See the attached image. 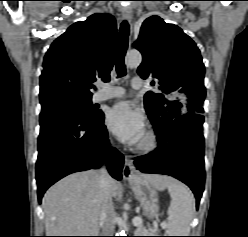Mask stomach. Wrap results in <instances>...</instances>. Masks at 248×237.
I'll return each mask as SVG.
<instances>
[{
  "label": "stomach",
  "mask_w": 248,
  "mask_h": 237,
  "mask_svg": "<svg viewBox=\"0 0 248 237\" xmlns=\"http://www.w3.org/2000/svg\"><path fill=\"white\" fill-rule=\"evenodd\" d=\"M130 185L145 215L150 218L157 216L159 211L158 189L150 181L141 176L130 181Z\"/></svg>",
  "instance_id": "0dacf381"
}]
</instances>
